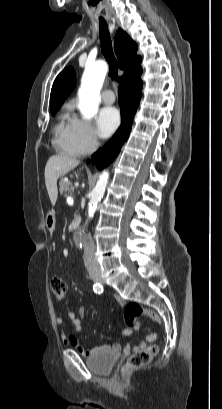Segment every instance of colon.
Masks as SVG:
<instances>
[{
	"label": "colon",
	"mask_w": 222,
	"mask_h": 409,
	"mask_svg": "<svg viewBox=\"0 0 222 409\" xmlns=\"http://www.w3.org/2000/svg\"><path fill=\"white\" fill-rule=\"evenodd\" d=\"M50 288L56 299L62 300L65 298L67 293V285L62 278L58 276L52 277L50 280ZM141 315L148 316L154 321L159 322V317L156 313L151 310L144 309L137 303L130 302L124 308V320L130 327H134L136 329L139 328L137 317ZM157 351L158 348L155 344L145 345L129 357V359L123 365L122 371L126 372L130 369L148 364L156 355Z\"/></svg>",
	"instance_id": "5ec220e1"
}]
</instances>
